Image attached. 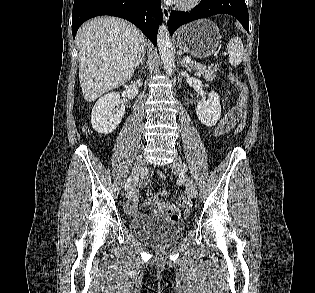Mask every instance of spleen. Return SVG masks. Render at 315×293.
I'll use <instances>...</instances> for the list:
<instances>
[{
	"label": "spleen",
	"instance_id": "3e777b00",
	"mask_svg": "<svg viewBox=\"0 0 315 293\" xmlns=\"http://www.w3.org/2000/svg\"><path fill=\"white\" fill-rule=\"evenodd\" d=\"M227 51L229 53V63L231 66H238L243 59L244 49L240 38L234 37L227 44Z\"/></svg>",
	"mask_w": 315,
	"mask_h": 293
}]
</instances>
